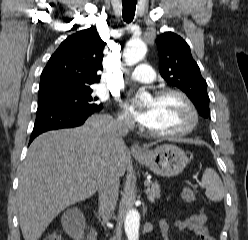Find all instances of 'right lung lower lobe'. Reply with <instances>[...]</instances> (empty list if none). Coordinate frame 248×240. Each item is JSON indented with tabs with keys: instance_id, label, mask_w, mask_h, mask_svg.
I'll use <instances>...</instances> for the list:
<instances>
[{
	"instance_id": "1",
	"label": "right lung lower lobe",
	"mask_w": 248,
	"mask_h": 240,
	"mask_svg": "<svg viewBox=\"0 0 248 240\" xmlns=\"http://www.w3.org/2000/svg\"><path fill=\"white\" fill-rule=\"evenodd\" d=\"M101 109L102 107L98 109H75L62 106L38 107L30 143L36 136L48 130L80 126L89 116Z\"/></svg>"
}]
</instances>
